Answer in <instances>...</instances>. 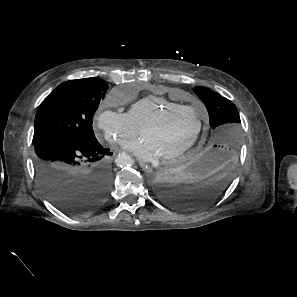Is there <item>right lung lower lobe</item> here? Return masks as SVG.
Returning <instances> with one entry per match:
<instances>
[{
    "label": "right lung lower lobe",
    "mask_w": 297,
    "mask_h": 297,
    "mask_svg": "<svg viewBox=\"0 0 297 297\" xmlns=\"http://www.w3.org/2000/svg\"><path fill=\"white\" fill-rule=\"evenodd\" d=\"M34 165L48 199L69 215L96 211L107 199L112 174L103 158L111 155L99 142L49 136L33 142Z\"/></svg>",
    "instance_id": "1"
}]
</instances>
